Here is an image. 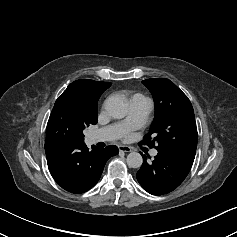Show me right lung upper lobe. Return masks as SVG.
<instances>
[{"label": "right lung upper lobe", "instance_id": "obj_1", "mask_svg": "<svg viewBox=\"0 0 237 237\" xmlns=\"http://www.w3.org/2000/svg\"><path fill=\"white\" fill-rule=\"evenodd\" d=\"M111 86L110 82L80 79L69 84L59 98L69 100L90 115H97L98 99Z\"/></svg>", "mask_w": 237, "mask_h": 237}]
</instances>
